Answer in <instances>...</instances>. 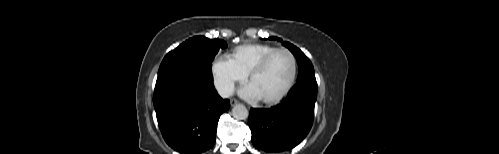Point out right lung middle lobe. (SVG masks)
Here are the masks:
<instances>
[{"label":"right lung middle lobe","mask_w":499,"mask_h":154,"mask_svg":"<svg viewBox=\"0 0 499 154\" xmlns=\"http://www.w3.org/2000/svg\"><path fill=\"white\" fill-rule=\"evenodd\" d=\"M226 47V42L220 39L211 40L203 36L190 38L164 57L156 83L191 73H202L213 78L211 63L219 49Z\"/></svg>","instance_id":"dd1d6c3e"}]
</instances>
